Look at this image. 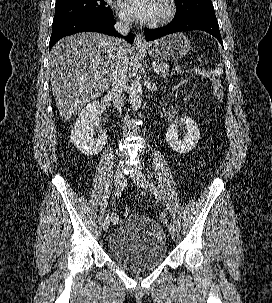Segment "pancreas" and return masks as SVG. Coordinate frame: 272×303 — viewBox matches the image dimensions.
<instances>
[{"label":"pancreas","instance_id":"cf45deb5","mask_svg":"<svg viewBox=\"0 0 272 303\" xmlns=\"http://www.w3.org/2000/svg\"><path fill=\"white\" fill-rule=\"evenodd\" d=\"M156 66L159 67L160 71L159 74L161 77H167L169 72L168 64L164 63L163 61H158ZM177 72H181L180 68L177 69Z\"/></svg>","mask_w":272,"mask_h":303}]
</instances>
